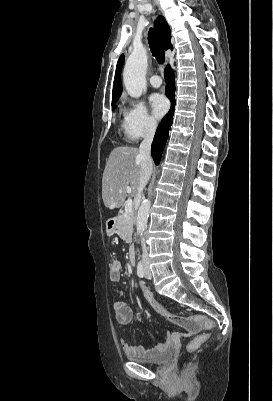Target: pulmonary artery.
<instances>
[{"label": "pulmonary artery", "mask_w": 273, "mask_h": 401, "mask_svg": "<svg viewBox=\"0 0 273 401\" xmlns=\"http://www.w3.org/2000/svg\"><path fill=\"white\" fill-rule=\"evenodd\" d=\"M150 83H149V86H150V88L151 89H158L159 88V86H160V80H161V77H160V75L159 74H152L151 75V77H150Z\"/></svg>", "instance_id": "obj_1"}]
</instances>
